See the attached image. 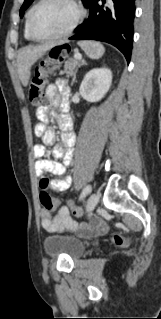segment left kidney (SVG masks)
Masks as SVG:
<instances>
[{
	"mask_svg": "<svg viewBox=\"0 0 161 319\" xmlns=\"http://www.w3.org/2000/svg\"><path fill=\"white\" fill-rule=\"evenodd\" d=\"M112 83V72L108 68H95L84 77L79 91L81 96L89 102L101 100Z\"/></svg>",
	"mask_w": 161,
	"mask_h": 319,
	"instance_id": "left-kidney-1",
	"label": "left kidney"
}]
</instances>
